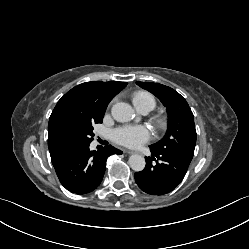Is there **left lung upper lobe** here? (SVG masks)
<instances>
[{"instance_id": "5c2ea615", "label": "left lung upper lobe", "mask_w": 249, "mask_h": 249, "mask_svg": "<svg viewBox=\"0 0 249 249\" xmlns=\"http://www.w3.org/2000/svg\"><path fill=\"white\" fill-rule=\"evenodd\" d=\"M154 94L166 107L169 119L165 136L150 147L159 152L177 153L193 158L196 129L186 100L174 89L153 82H136Z\"/></svg>"}]
</instances>
